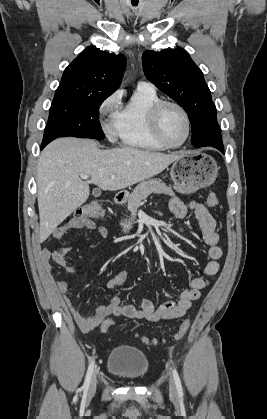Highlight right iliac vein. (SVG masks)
I'll return each instance as SVG.
<instances>
[{
  "instance_id": "right-iliac-vein-1",
  "label": "right iliac vein",
  "mask_w": 267,
  "mask_h": 419,
  "mask_svg": "<svg viewBox=\"0 0 267 419\" xmlns=\"http://www.w3.org/2000/svg\"><path fill=\"white\" fill-rule=\"evenodd\" d=\"M96 385H97V378H96V372L93 374L91 382H90V387H89V391H88V396H92L95 391H96Z\"/></svg>"
}]
</instances>
